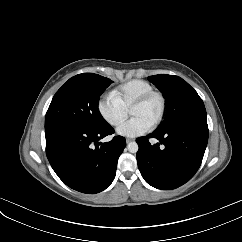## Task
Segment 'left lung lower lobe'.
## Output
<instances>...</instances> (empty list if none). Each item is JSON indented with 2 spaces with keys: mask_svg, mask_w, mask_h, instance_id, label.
Returning a JSON list of instances; mask_svg holds the SVG:
<instances>
[{
  "mask_svg": "<svg viewBox=\"0 0 242 242\" xmlns=\"http://www.w3.org/2000/svg\"><path fill=\"white\" fill-rule=\"evenodd\" d=\"M208 135L207 120L192 119L137 138L139 150L136 156L144 180L163 190L185 184L201 165ZM149 138H156L159 143L151 145ZM161 144L163 148H160Z\"/></svg>",
  "mask_w": 242,
  "mask_h": 242,
  "instance_id": "left-lung-lower-lobe-1",
  "label": "left lung lower lobe"
}]
</instances>
